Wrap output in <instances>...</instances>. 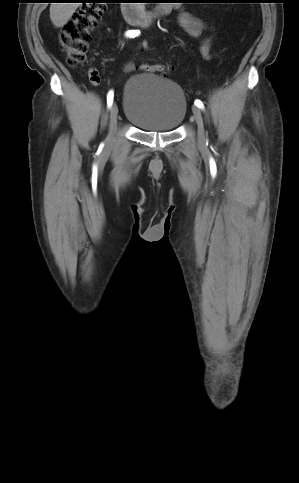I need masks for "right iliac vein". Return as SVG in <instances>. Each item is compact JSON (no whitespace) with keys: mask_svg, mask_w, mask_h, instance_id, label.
Here are the masks:
<instances>
[{"mask_svg":"<svg viewBox=\"0 0 299 483\" xmlns=\"http://www.w3.org/2000/svg\"><path fill=\"white\" fill-rule=\"evenodd\" d=\"M118 106L113 103L110 109V136L112 137L117 125Z\"/></svg>","mask_w":299,"mask_h":483,"instance_id":"63e3f726","label":"right iliac vein"}]
</instances>
